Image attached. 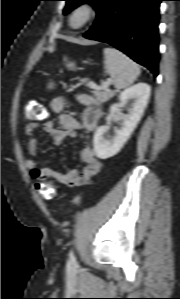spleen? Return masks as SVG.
I'll return each mask as SVG.
<instances>
[{"instance_id":"spleen-1","label":"spleen","mask_w":180,"mask_h":299,"mask_svg":"<svg viewBox=\"0 0 180 299\" xmlns=\"http://www.w3.org/2000/svg\"><path fill=\"white\" fill-rule=\"evenodd\" d=\"M105 72L110 75L117 89L130 86L140 74L137 63L115 48L104 49Z\"/></svg>"}]
</instances>
